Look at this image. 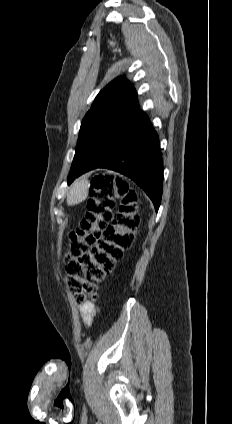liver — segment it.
<instances>
[{"label":"liver","instance_id":"6515ba94","mask_svg":"<svg viewBox=\"0 0 232 424\" xmlns=\"http://www.w3.org/2000/svg\"><path fill=\"white\" fill-rule=\"evenodd\" d=\"M88 196V181L86 178H79L71 185L67 195V205L72 206L81 203Z\"/></svg>","mask_w":232,"mask_h":424}]
</instances>
